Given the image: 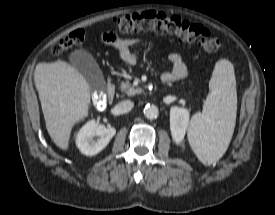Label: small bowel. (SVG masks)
I'll return each mask as SVG.
<instances>
[{
    "instance_id": "1",
    "label": "small bowel",
    "mask_w": 275,
    "mask_h": 215,
    "mask_svg": "<svg viewBox=\"0 0 275 215\" xmlns=\"http://www.w3.org/2000/svg\"><path fill=\"white\" fill-rule=\"evenodd\" d=\"M103 41L116 51L123 62L127 64H135L137 62V56L132 50L137 43L136 39L120 38L109 32L103 35ZM169 61L172 64V69L162 74V81L168 83L184 79L187 76V68L182 57L177 53H172L169 56Z\"/></svg>"
}]
</instances>
